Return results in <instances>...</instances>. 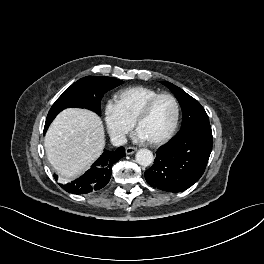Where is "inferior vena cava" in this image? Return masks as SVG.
Masks as SVG:
<instances>
[{
  "instance_id": "602c4592",
  "label": "inferior vena cava",
  "mask_w": 264,
  "mask_h": 264,
  "mask_svg": "<svg viewBox=\"0 0 264 264\" xmlns=\"http://www.w3.org/2000/svg\"><path fill=\"white\" fill-rule=\"evenodd\" d=\"M111 142L114 146H123L127 143V138L122 133H113L111 135Z\"/></svg>"
}]
</instances>
